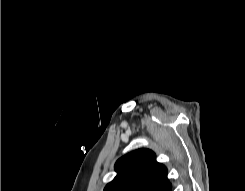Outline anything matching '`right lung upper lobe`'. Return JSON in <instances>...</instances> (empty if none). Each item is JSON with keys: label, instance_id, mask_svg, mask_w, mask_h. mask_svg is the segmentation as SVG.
Returning a JSON list of instances; mask_svg holds the SVG:
<instances>
[{"label": "right lung upper lobe", "instance_id": "1", "mask_svg": "<svg viewBox=\"0 0 245 191\" xmlns=\"http://www.w3.org/2000/svg\"><path fill=\"white\" fill-rule=\"evenodd\" d=\"M117 176L104 191H171L167 168L156 161L149 149H138L115 164Z\"/></svg>", "mask_w": 245, "mask_h": 191}]
</instances>
